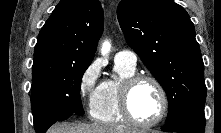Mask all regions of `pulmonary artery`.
Instances as JSON below:
<instances>
[{
  "mask_svg": "<svg viewBox=\"0 0 221 133\" xmlns=\"http://www.w3.org/2000/svg\"><path fill=\"white\" fill-rule=\"evenodd\" d=\"M115 62L124 64L128 67L135 68L137 63V56L135 53L124 50L115 55Z\"/></svg>",
  "mask_w": 221,
  "mask_h": 133,
  "instance_id": "e3ab8cb5",
  "label": "pulmonary artery"
}]
</instances>
